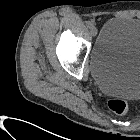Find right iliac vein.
<instances>
[{"mask_svg":"<svg viewBox=\"0 0 140 140\" xmlns=\"http://www.w3.org/2000/svg\"><path fill=\"white\" fill-rule=\"evenodd\" d=\"M90 32H91L92 36H96L98 30H97L96 27H92L91 30H90Z\"/></svg>","mask_w":140,"mask_h":140,"instance_id":"right-iliac-vein-1","label":"right iliac vein"}]
</instances>
